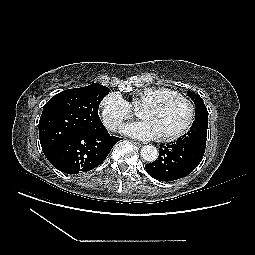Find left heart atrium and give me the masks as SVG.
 <instances>
[{"instance_id":"39dd6f15","label":"left heart atrium","mask_w":255,"mask_h":255,"mask_svg":"<svg viewBox=\"0 0 255 255\" xmlns=\"http://www.w3.org/2000/svg\"><path fill=\"white\" fill-rule=\"evenodd\" d=\"M122 131L134 138L152 140L159 137L158 129L151 120L133 122L122 127Z\"/></svg>"}]
</instances>
